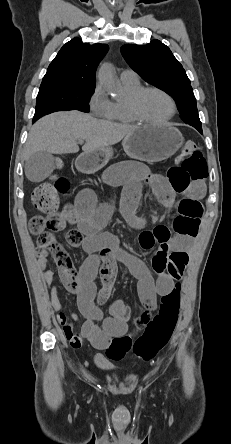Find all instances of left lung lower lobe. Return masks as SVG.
I'll return each mask as SVG.
<instances>
[{
	"instance_id": "obj_1",
	"label": "left lung lower lobe",
	"mask_w": 231,
	"mask_h": 444,
	"mask_svg": "<svg viewBox=\"0 0 231 444\" xmlns=\"http://www.w3.org/2000/svg\"><path fill=\"white\" fill-rule=\"evenodd\" d=\"M199 132L202 133V129H200Z\"/></svg>"
}]
</instances>
